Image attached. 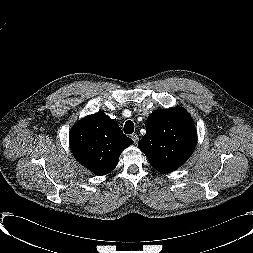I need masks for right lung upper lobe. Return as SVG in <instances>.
I'll return each instance as SVG.
<instances>
[{"label": "right lung upper lobe", "instance_id": "obj_1", "mask_svg": "<svg viewBox=\"0 0 253 253\" xmlns=\"http://www.w3.org/2000/svg\"><path fill=\"white\" fill-rule=\"evenodd\" d=\"M69 143L76 160L95 175L102 176L116 167L121 152L133 144V140L104 112H98L73 126Z\"/></svg>", "mask_w": 253, "mask_h": 253}]
</instances>
